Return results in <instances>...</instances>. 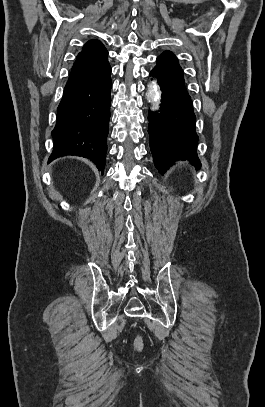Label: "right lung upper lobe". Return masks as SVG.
Wrapping results in <instances>:
<instances>
[{
  "instance_id": "right-lung-upper-lobe-1",
  "label": "right lung upper lobe",
  "mask_w": 265,
  "mask_h": 407,
  "mask_svg": "<svg viewBox=\"0 0 265 407\" xmlns=\"http://www.w3.org/2000/svg\"><path fill=\"white\" fill-rule=\"evenodd\" d=\"M106 52L107 50L102 42L97 39L89 40L87 43H85L82 51L78 54L75 63L81 59L97 58Z\"/></svg>"
}]
</instances>
